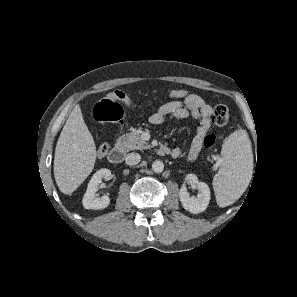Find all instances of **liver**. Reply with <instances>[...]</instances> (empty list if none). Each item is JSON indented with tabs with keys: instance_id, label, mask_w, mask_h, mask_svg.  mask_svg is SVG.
Masks as SVG:
<instances>
[{
	"instance_id": "obj_1",
	"label": "liver",
	"mask_w": 297,
	"mask_h": 297,
	"mask_svg": "<svg viewBox=\"0 0 297 297\" xmlns=\"http://www.w3.org/2000/svg\"><path fill=\"white\" fill-rule=\"evenodd\" d=\"M96 146L79 105L67 119L55 148L54 177L59 190L72 194L92 172Z\"/></svg>"
}]
</instances>
